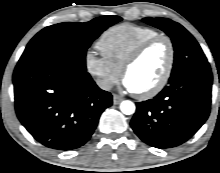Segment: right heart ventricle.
Instances as JSON below:
<instances>
[{"label": "right heart ventricle", "instance_id": "obj_1", "mask_svg": "<svg viewBox=\"0 0 220 173\" xmlns=\"http://www.w3.org/2000/svg\"><path fill=\"white\" fill-rule=\"evenodd\" d=\"M151 27L130 23L119 24L105 31L97 42L102 56L120 71L131 53L147 39L158 35Z\"/></svg>", "mask_w": 220, "mask_h": 173}]
</instances>
